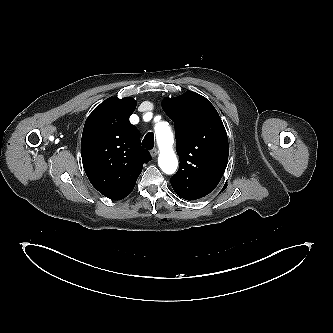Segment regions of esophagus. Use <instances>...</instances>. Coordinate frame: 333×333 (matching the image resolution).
<instances>
[{
	"label": "esophagus",
	"instance_id": "34e87169",
	"mask_svg": "<svg viewBox=\"0 0 333 333\" xmlns=\"http://www.w3.org/2000/svg\"><path fill=\"white\" fill-rule=\"evenodd\" d=\"M150 154H151V156H152L153 158L156 157L157 154H158V150H157V148H153V149H151V150H150Z\"/></svg>",
	"mask_w": 333,
	"mask_h": 333
}]
</instances>
